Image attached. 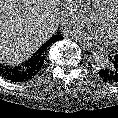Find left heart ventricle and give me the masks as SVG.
Returning <instances> with one entry per match:
<instances>
[{
    "label": "left heart ventricle",
    "mask_w": 118,
    "mask_h": 118,
    "mask_svg": "<svg viewBox=\"0 0 118 118\" xmlns=\"http://www.w3.org/2000/svg\"><path fill=\"white\" fill-rule=\"evenodd\" d=\"M95 21L110 42H118V3L109 16Z\"/></svg>",
    "instance_id": "1"
}]
</instances>
